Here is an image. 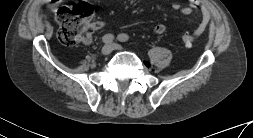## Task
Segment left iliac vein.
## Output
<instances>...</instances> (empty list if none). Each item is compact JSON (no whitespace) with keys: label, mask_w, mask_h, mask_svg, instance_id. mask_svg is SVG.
<instances>
[{"label":"left iliac vein","mask_w":253,"mask_h":138,"mask_svg":"<svg viewBox=\"0 0 253 138\" xmlns=\"http://www.w3.org/2000/svg\"><path fill=\"white\" fill-rule=\"evenodd\" d=\"M112 45H113V49H115V50H122L123 49V47L119 44H112Z\"/></svg>","instance_id":"left-iliac-vein-1"}]
</instances>
